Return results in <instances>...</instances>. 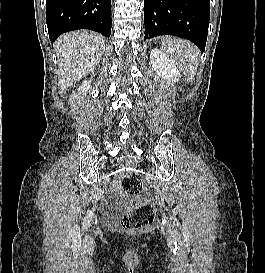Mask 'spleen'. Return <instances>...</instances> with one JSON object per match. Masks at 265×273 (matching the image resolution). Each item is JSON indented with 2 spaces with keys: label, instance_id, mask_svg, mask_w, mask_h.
<instances>
[{
  "label": "spleen",
  "instance_id": "spleen-1",
  "mask_svg": "<svg viewBox=\"0 0 265 273\" xmlns=\"http://www.w3.org/2000/svg\"><path fill=\"white\" fill-rule=\"evenodd\" d=\"M162 50L170 56L188 79H192L197 71L199 56L195 45L183 39L166 37L162 42Z\"/></svg>",
  "mask_w": 265,
  "mask_h": 273
}]
</instances>
